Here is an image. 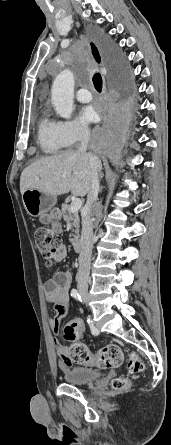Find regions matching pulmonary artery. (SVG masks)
Segmentation results:
<instances>
[{
  "label": "pulmonary artery",
  "instance_id": "pulmonary-artery-1",
  "mask_svg": "<svg viewBox=\"0 0 171 445\" xmlns=\"http://www.w3.org/2000/svg\"><path fill=\"white\" fill-rule=\"evenodd\" d=\"M77 100L82 103H88L92 99V95L86 88H81L77 91L76 94Z\"/></svg>",
  "mask_w": 171,
  "mask_h": 445
}]
</instances>
